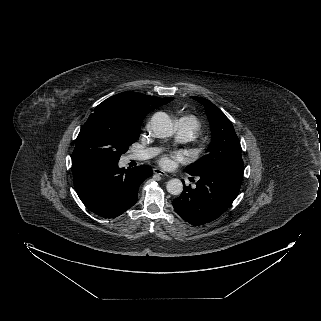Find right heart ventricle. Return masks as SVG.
I'll return each mask as SVG.
<instances>
[{
    "mask_svg": "<svg viewBox=\"0 0 321 321\" xmlns=\"http://www.w3.org/2000/svg\"><path fill=\"white\" fill-rule=\"evenodd\" d=\"M183 118L190 120L191 122L194 123V125H195L196 127H198V120H197V118H196L195 116H193V115H187V116H185V117H183Z\"/></svg>",
    "mask_w": 321,
    "mask_h": 321,
    "instance_id": "obj_1",
    "label": "right heart ventricle"
}]
</instances>
